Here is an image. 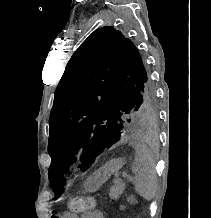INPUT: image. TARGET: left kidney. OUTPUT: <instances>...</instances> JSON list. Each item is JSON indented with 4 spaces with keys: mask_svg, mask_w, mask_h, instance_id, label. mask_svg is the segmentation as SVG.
Instances as JSON below:
<instances>
[{
    "mask_svg": "<svg viewBox=\"0 0 211 218\" xmlns=\"http://www.w3.org/2000/svg\"><path fill=\"white\" fill-rule=\"evenodd\" d=\"M117 212H120V215H129L128 207H117Z\"/></svg>",
    "mask_w": 211,
    "mask_h": 218,
    "instance_id": "left-kidney-1",
    "label": "left kidney"
}]
</instances>
